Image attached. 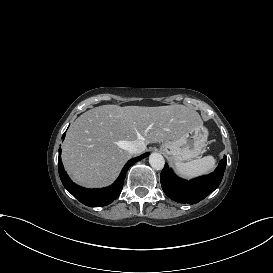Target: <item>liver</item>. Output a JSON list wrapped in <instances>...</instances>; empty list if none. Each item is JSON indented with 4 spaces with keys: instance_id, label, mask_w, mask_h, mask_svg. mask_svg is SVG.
Returning <instances> with one entry per match:
<instances>
[{
    "instance_id": "6515ba94",
    "label": "liver",
    "mask_w": 273,
    "mask_h": 273,
    "mask_svg": "<svg viewBox=\"0 0 273 273\" xmlns=\"http://www.w3.org/2000/svg\"><path fill=\"white\" fill-rule=\"evenodd\" d=\"M190 106H119L92 108L70 126L62 146V163L69 178L88 189L112 185L129 160L128 142L145 145L177 139L202 123Z\"/></svg>"
}]
</instances>
